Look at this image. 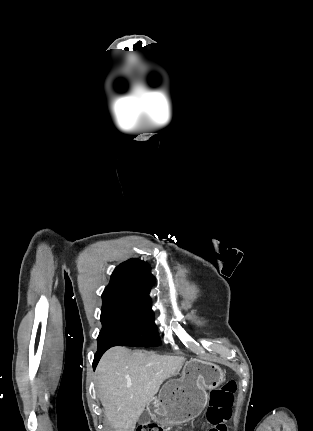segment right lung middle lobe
I'll return each mask as SVG.
<instances>
[{
	"mask_svg": "<svg viewBox=\"0 0 313 431\" xmlns=\"http://www.w3.org/2000/svg\"><path fill=\"white\" fill-rule=\"evenodd\" d=\"M102 299V330L97 338L98 347L159 345L149 302L116 295L102 296Z\"/></svg>",
	"mask_w": 313,
	"mask_h": 431,
	"instance_id": "obj_1",
	"label": "right lung middle lobe"
}]
</instances>
